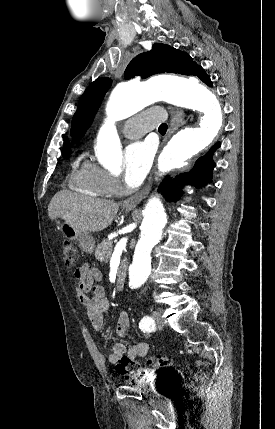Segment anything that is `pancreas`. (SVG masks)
I'll list each match as a JSON object with an SVG mask.
<instances>
[{"instance_id": "cf45deb5", "label": "pancreas", "mask_w": 275, "mask_h": 429, "mask_svg": "<svg viewBox=\"0 0 275 429\" xmlns=\"http://www.w3.org/2000/svg\"><path fill=\"white\" fill-rule=\"evenodd\" d=\"M113 243L108 240H103L98 244L95 250V257L99 261L108 262L112 253Z\"/></svg>"}]
</instances>
